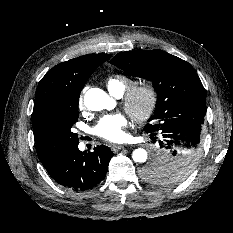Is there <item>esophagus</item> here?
Masks as SVG:
<instances>
[{
	"mask_svg": "<svg viewBox=\"0 0 233 233\" xmlns=\"http://www.w3.org/2000/svg\"><path fill=\"white\" fill-rule=\"evenodd\" d=\"M123 147H124V146L121 145V144H113V145L111 146V149H112L113 152H118V151L121 150Z\"/></svg>",
	"mask_w": 233,
	"mask_h": 233,
	"instance_id": "34e87169",
	"label": "esophagus"
}]
</instances>
